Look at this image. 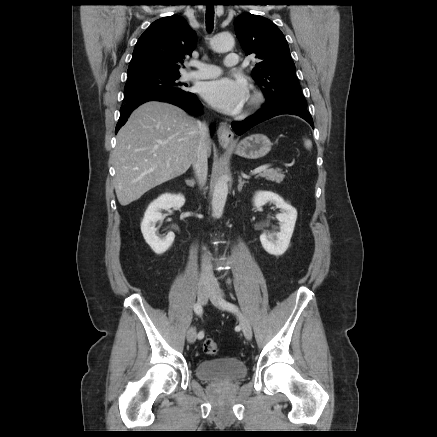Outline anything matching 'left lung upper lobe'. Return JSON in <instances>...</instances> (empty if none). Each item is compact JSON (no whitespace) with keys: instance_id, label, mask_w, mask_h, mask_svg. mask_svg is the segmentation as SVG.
I'll list each match as a JSON object with an SVG mask.
<instances>
[{"instance_id":"1","label":"left lung upper lobe","mask_w":437,"mask_h":437,"mask_svg":"<svg viewBox=\"0 0 437 437\" xmlns=\"http://www.w3.org/2000/svg\"><path fill=\"white\" fill-rule=\"evenodd\" d=\"M236 36L246 55L258 59L252 76L267 100L263 107L289 104L306 107L288 43L269 19L244 13L234 21Z\"/></svg>"}]
</instances>
